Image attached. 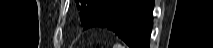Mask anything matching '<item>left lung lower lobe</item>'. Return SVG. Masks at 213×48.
<instances>
[{
  "label": "left lung lower lobe",
  "instance_id": "0a47b994",
  "mask_svg": "<svg viewBox=\"0 0 213 48\" xmlns=\"http://www.w3.org/2000/svg\"><path fill=\"white\" fill-rule=\"evenodd\" d=\"M153 0H111L84 25L114 31L130 48H149Z\"/></svg>",
  "mask_w": 213,
  "mask_h": 48
}]
</instances>
